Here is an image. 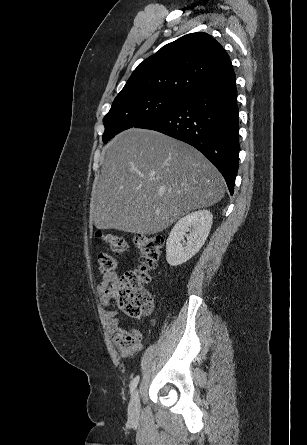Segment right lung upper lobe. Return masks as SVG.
<instances>
[{"mask_svg":"<svg viewBox=\"0 0 307 445\" xmlns=\"http://www.w3.org/2000/svg\"><path fill=\"white\" fill-rule=\"evenodd\" d=\"M231 73L233 66L223 47L207 33H191L140 63L118 95L187 97Z\"/></svg>","mask_w":307,"mask_h":445,"instance_id":"right-lung-upper-lobe-1","label":"right lung upper lobe"}]
</instances>
